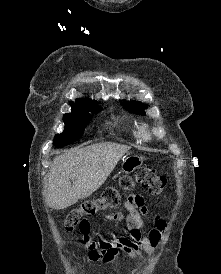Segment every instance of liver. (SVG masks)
<instances>
[{
    "label": "liver",
    "mask_w": 221,
    "mask_h": 274,
    "mask_svg": "<svg viewBox=\"0 0 221 274\" xmlns=\"http://www.w3.org/2000/svg\"><path fill=\"white\" fill-rule=\"evenodd\" d=\"M129 150L128 146L105 142L56 156L45 187L46 204L60 210L89 197Z\"/></svg>",
    "instance_id": "1"
}]
</instances>
